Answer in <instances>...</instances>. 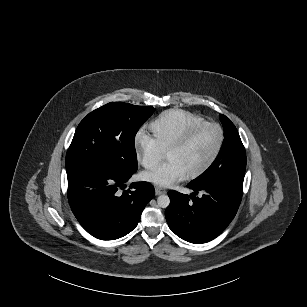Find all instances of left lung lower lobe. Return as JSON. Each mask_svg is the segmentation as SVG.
Returning <instances> with one entry per match:
<instances>
[{
	"mask_svg": "<svg viewBox=\"0 0 307 307\" xmlns=\"http://www.w3.org/2000/svg\"><path fill=\"white\" fill-rule=\"evenodd\" d=\"M188 186L194 191L190 196L173 190L168 192L171 202L165 217L170 229L180 238L205 243L220 235L236 215L242 187L226 182ZM201 190L204 195L195 197Z\"/></svg>",
	"mask_w": 307,
	"mask_h": 307,
	"instance_id": "0a47b994",
	"label": "left lung lower lobe"
}]
</instances>
